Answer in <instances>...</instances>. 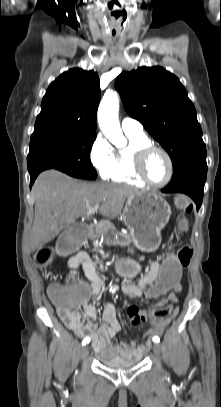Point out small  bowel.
I'll return each instance as SVG.
<instances>
[{
	"label": "small bowel",
	"mask_w": 221,
	"mask_h": 407,
	"mask_svg": "<svg viewBox=\"0 0 221 407\" xmlns=\"http://www.w3.org/2000/svg\"><path fill=\"white\" fill-rule=\"evenodd\" d=\"M143 260L142 257H138ZM159 264L156 260L148 261V268L139 276L138 282H124L121 286L123 294L131 299L139 298L143 295L147 296L150 283H155V279L159 277ZM82 267L86 277L90 281L88 286L81 287L78 290L75 273ZM68 268L71 273L67 277V282H74L78 293V306L81 307L82 313L74 310L68 314H60L66 326L72 330L77 336L89 338L93 349L103 356L108 358L121 357L124 359L140 358L147 350L148 343L137 345L131 342L129 345H113L112 339L117 332L121 330V324L117 319L115 307L112 303H108L101 315V324L97 326L96 320L98 313L95 305L91 302L102 293L105 287V280L97 272L90 256L84 252H78L72 256L68 262ZM182 288L175 286L174 292H160L162 295L169 293L167 297H160L157 305L167 306L170 301V316L168 318H160L152 320V327L146 333L145 337L158 335L163 332L164 328L178 313L177 303L178 295ZM150 305H135L131 304L128 308V317L132 325H145L146 317L141 315L150 314L153 311Z\"/></svg>",
	"instance_id": "c3829d8e"
}]
</instances>
